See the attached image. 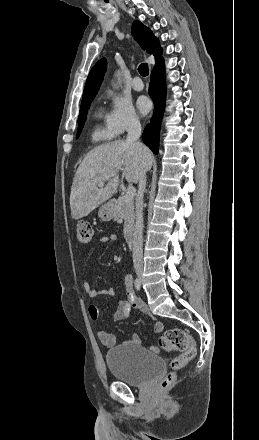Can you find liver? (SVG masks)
Listing matches in <instances>:
<instances>
[{
  "label": "liver",
  "instance_id": "liver-1",
  "mask_svg": "<svg viewBox=\"0 0 259 440\" xmlns=\"http://www.w3.org/2000/svg\"><path fill=\"white\" fill-rule=\"evenodd\" d=\"M144 162V163H143ZM153 155L147 148L144 159L137 147L126 140H116L92 149L79 165L70 194L73 219L90 214L101 203L110 199L119 186V171L123 170L129 183H137L143 171L151 168ZM114 173L107 184H98Z\"/></svg>",
  "mask_w": 259,
  "mask_h": 440
}]
</instances>
